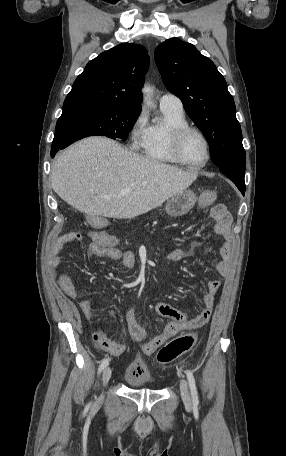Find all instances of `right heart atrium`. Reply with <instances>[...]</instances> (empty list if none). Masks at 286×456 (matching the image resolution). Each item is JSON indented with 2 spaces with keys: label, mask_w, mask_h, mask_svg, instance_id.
I'll return each mask as SVG.
<instances>
[{
  "label": "right heart atrium",
  "mask_w": 286,
  "mask_h": 456,
  "mask_svg": "<svg viewBox=\"0 0 286 456\" xmlns=\"http://www.w3.org/2000/svg\"><path fill=\"white\" fill-rule=\"evenodd\" d=\"M146 127V113L144 110H142L133 121L130 131V137L133 146L140 145Z\"/></svg>",
  "instance_id": "right-heart-atrium-1"
}]
</instances>
